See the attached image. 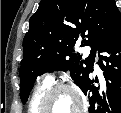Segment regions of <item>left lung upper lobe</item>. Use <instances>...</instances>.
<instances>
[{"instance_id":"obj_1","label":"left lung upper lobe","mask_w":121,"mask_h":113,"mask_svg":"<svg viewBox=\"0 0 121 113\" xmlns=\"http://www.w3.org/2000/svg\"><path fill=\"white\" fill-rule=\"evenodd\" d=\"M120 18L114 0H42L23 39L19 69L22 102H27L37 76L44 71L69 70L83 91L96 50L112 35ZM78 40L81 46L92 47L82 61L72 49Z\"/></svg>"}]
</instances>
